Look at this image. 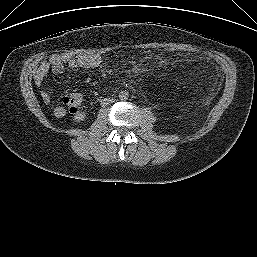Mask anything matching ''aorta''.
<instances>
[{"mask_svg": "<svg viewBox=\"0 0 257 257\" xmlns=\"http://www.w3.org/2000/svg\"><path fill=\"white\" fill-rule=\"evenodd\" d=\"M129 97V93L127 91H121L119 93L120 100H127Z\"/></svg>", "mask_w": 257, "mask_h": 257, "instance_id": "obj_1", "label": "aorta"}]
</instances>
